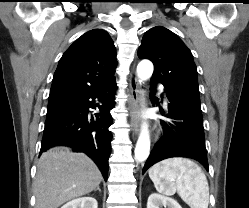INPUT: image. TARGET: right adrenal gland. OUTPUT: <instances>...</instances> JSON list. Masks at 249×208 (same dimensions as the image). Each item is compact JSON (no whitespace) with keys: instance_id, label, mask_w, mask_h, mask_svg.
I'll use <instances>...</instances> for the list:
<instances>
[{"instance_id":"2a0ac1e0","label":"right adrenal gland","mask_w":249,"mask_h":208,"mask_svg":"<svg viewBox=\"0 0 249 208\" xmlns=\"http://www.w3.org/2000/svg\"><path fill=\"white\" fill-rule=\"evenodd\" d=\"M96 191H99L101 193V189L99 186L94 190V192H96Z\"/></svg>"}]
</instances>
